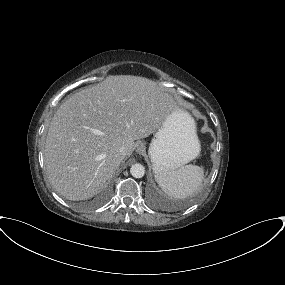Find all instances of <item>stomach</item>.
Listing matches in <instances>:
<instances>
[{
	"instance_id": "1",
	"label": "stomach",
	"mask_w": 285,
	"mask_h": 285,
	"mask_svg": "<svg viewBox=\"0 0 285 285\" xmlns=\"http://www.w3.org/2000/svg\"><path fill=\"white\" fill-rule=\"evenodd\" d=\"M199 152L195 122L188 113L180 110L156 132L148 154L155 172H168L195 159Z\"/></svg>"
}]
</instances>
